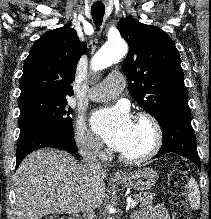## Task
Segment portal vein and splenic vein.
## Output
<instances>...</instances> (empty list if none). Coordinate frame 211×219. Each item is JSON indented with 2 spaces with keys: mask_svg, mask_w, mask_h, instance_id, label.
I'll return each mask as SVG.
<instances>
[{
  "mask_svg": "<svg viewBox=\"0 0 211 219\" xmlns=\"http://www.w3.org/2000/svg\"><path fill=\"white\" fill-rule=\"evenodd\" d=\"M128 202H129V207H131V208L135 207L138 204V202L136 200L131 199V198L128 199Z\"/></svg>",
  "mask_w": 211,
  "mask_h": 219,
  "instance_id": "obj_1",
  "label": "portal vein and splenic vein"
}]
</instances>
